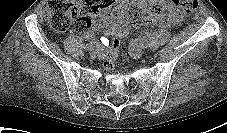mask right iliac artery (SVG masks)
Here are the masks:
<instances>
[{"mask_svg": "<svg viewBox=\"0 0 227 133\" xmlns=\"http://www.w3.org/2000/svg\"><path fill=\"white\" fill-rule=\"evenodd\" d=\"M92 48H99L100 51H105V46L102 44V43H89L87 46H86V49L87 50H91Z\"/></svg>", "mask_w": 227, "mask_h": 133, "instance_id": "right-iliac-artery-1", "label": "right iliac artery"}]
</instances>
